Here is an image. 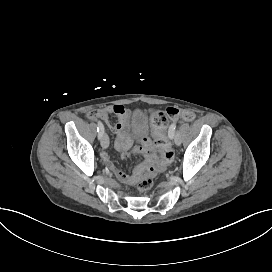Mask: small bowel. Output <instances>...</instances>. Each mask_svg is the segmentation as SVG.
Wrapping results in <instances>:
<instances>
[{
  "mask_svg": "<svg viewBox=\"0 0 272 272\" xmlns=\"http://www.w3.org/2000/svg\"><path fill=\"white\" fill-rule=\"evenodd\" d=\"M107 110L109 114L113 113L117 117L115 123H111L109 116L103 117L104 122L109 126L113 134L115 150L123 159L130 157L135 153L142 156L143 160L135 165L132 174L124 172L125 176L122 179H119L116 176L117 171L121 169L112 162L107 153L102 154L103 162L106 169L112 172L121 183L133 185L143 175L147 166L153 164L157 160L158 151L156 144L146 136H139L138 139L142 143V146L132 154L130 146L134 141L135 136L128 130L129 111L122 105H114L108 107Z\"/></svg>",
  "mask_w": 272,
  "mask_h": 272,
  "instance_id": "small-bowel-1",
  "label": "small bowel"
}]
</instances>
